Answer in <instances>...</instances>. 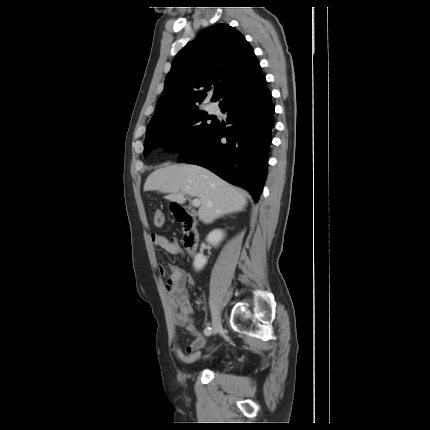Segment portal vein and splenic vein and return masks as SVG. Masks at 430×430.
<instances>
[{"instance_id":"18ae733b","label":"portal vein and splenic vein","mask_w":430,"mask_h":430,"mask_svg":"<svg viewBox=\"0 0 430 430\" xmlns=\"http://www.w3.org/2000/svg\"><path fill=\"white\" fill-rule=\"evenodd\" d=\"M200 203H201L200 200L197 199V198H195V199L192 200V205L195 206V207H199Z\"/></svg>"}]
</instances>
